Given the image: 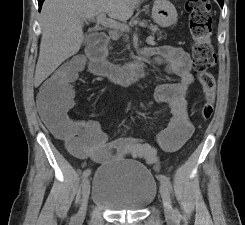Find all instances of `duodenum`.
<instances>
[{
	"label": "duodenum",
	"mask_w": 245,
	"mask_h": 225,
	"mask_svg": "<svg viewBox=\"0 0 245 225\" xmlns=\"http://www.w3.org/2000/svg\"><path fill=\"white\" fill-rule=\"evenodd\" d=\"M108 41L107 34L101 33L87 46L86 52L91 73L125 84L133 82L140 74L145 73L150 53L144 52L126 65L113 64L105 60Z\"/></svg>",
	"instance_id": "duodenum-1"
}]
</instances>
